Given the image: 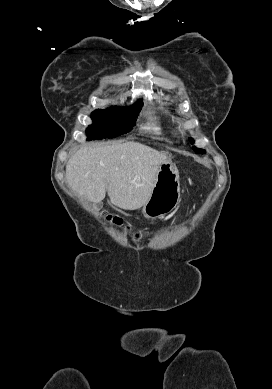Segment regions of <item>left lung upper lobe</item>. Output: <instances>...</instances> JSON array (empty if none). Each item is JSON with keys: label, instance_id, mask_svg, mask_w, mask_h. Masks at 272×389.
<instances>
[{"label": "left lung upper lobe", "instance_id": "left-lung-upper-lobe-1", "mask_svg": "<svg viewBox=\"0 0 272 389\" xmlns=\"http://www.w3.org/2000/svg\"><path fill=\"white\" fill-rule=\"evenodd\" d=\"M190 140V142L193 144V142H194V140L193 139H189ZM194 149V151L195 152H197V153H205V151L204 150H201V149H198V148H193Z\"/></svg>", "mask_w": 272, "mask_h": 389}]
</instances>
